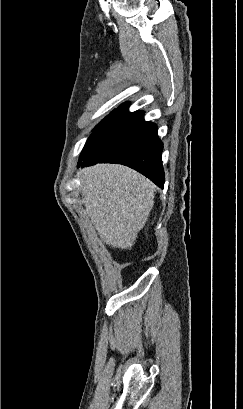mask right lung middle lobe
<instances>
[{"mask_svg": "<svg viewBox=\"0 0 243 409\" xmlns=\"http://www.w3.org/2000/svg\"><path fill=\"white\" fill-rule=\"evenodd\" d=\"M119 108H117L116 110H114L109 116H107L103 121H101L97 126H96V130L102 126Z\"/></svg>", "mask_w": 243, "mask_h": 409, "instance_id": "dd1d6c3e", "label": "right lung middle lobe"}]
</instances>
